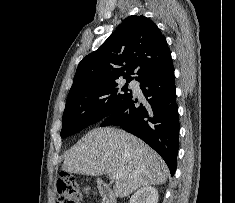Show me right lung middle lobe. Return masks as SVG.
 <instances>
[{
    "instance_id": "dd1d6c3e",
    "label": "right lung middle lobe",
    "mask_w": 235,
    "mask_h": 203,
    "mask_svg": "<svg viewBox=\"0 0 235 203\" xmlns=\"http://www.w3.org/2000/svg\"><path fill=\"white\" fill-rule=\"evenodd\" d=\"M127 83L121 86L116 80L107 81L69 93L63 114L61 137L73 135L116 111L132 96Z\"/></svg>"
}]
</instances>
